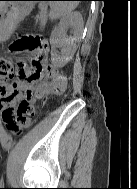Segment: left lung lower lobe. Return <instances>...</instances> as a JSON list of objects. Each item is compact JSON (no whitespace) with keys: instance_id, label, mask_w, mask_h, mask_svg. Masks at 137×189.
I'll return each instance as SVG.
<instances>
[{"instance_id":"obj_1","label":"left lung lower lobe","mask_w":137,"mask_h":189,"mask_svg":"<svg viewBox=\"0 0 137 189\" xmlns=\"http://www.w3.org/2000/svg\"><path fill=\"white\" fill-rule=\"evenodd\" d=\"M78 1H90V0H78Z\"/></svg>"}]
</instances>
